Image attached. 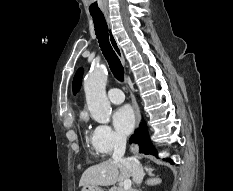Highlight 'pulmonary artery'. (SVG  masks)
Listing matches in <instances>:
<instances>
[{
    "instance_id": "pulmonary-artery-1",
    "label": "pulmonary artery",
    "mask_w": 233,
    "mask_h": 191,
    "mask_svg": "<svg viewBox=\"0 0 233 191\" xmlns=\"http://www.w3.org/2000/svg\"><path fill=\"white\" fill-rule=\"evenodd\" d=\"M108 99L114 104H120L124 101L125 96L118 88H111L108 91Z\"/></svg>"
}]
</instances>
